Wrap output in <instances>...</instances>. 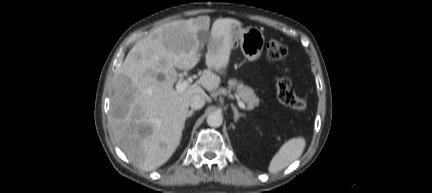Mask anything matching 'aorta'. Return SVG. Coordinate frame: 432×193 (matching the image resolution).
<instances>
[{
	"instance_id": "1",
	"label": "aorta",
	"mask_w": 432,
	"mask_h": 193,
	"mask_svg": "<svg viewBox=\"0 0 432 193\" xmlns=\"http://www.w3.org/2000/svg\"><path fill=\"white\" fill-rule=\"evenodd\" d=\"M223 123V116L219 112H212L207 116V124L211 127H219Z\"/></svg>"
}]
</instances>
